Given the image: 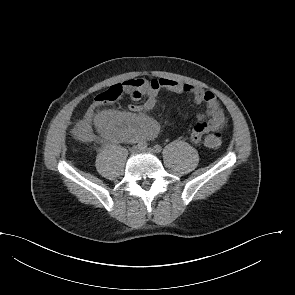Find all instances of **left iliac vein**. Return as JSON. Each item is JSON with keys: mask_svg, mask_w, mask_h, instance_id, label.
I'll return each mask as SVG.
<instances>
[{"mask_svg": "<svg viewBox=\"0 0 295 295\" xmlns=\"http://www.w3.org/2000/svg\"><path fill=\"white\" fill-rule=\"evenodd\" d=\"M141 150L147 153H155L154 149L151 147H141Z\"/></svg>", "mask_w": 295, "mask_h": 295, "instance_id": "left-iliac-vein-1", "label": "left iliac vein"}]
</instances>
